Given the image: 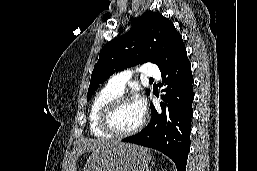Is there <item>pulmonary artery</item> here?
<instances>
[{"label":"pulmonary artery","instance_id":"pulmonary-artery-1","mask_svg":"<svg viewBox=\"0 0 257 171\" xmlns=\"http://www.w3.org/2000/svg\"><path fill=\"white\" fill-rule=\"evenodd\" d=\"M136 71H141L142 74L151 78H160V72L158 67L153 63H145ZM135 72L134 69H125L117 74L113 75L107 83V86L113 91L122 94L125 86Z\"/></svg>","mask_w":257,"mask_h":171}]
</instances>
